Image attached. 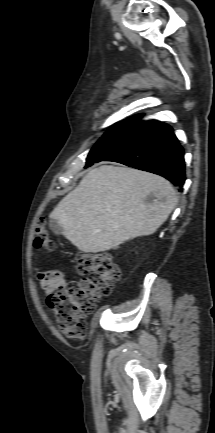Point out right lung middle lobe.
Instances as JSON below:
<instances>
[{
    "label": "right lung middle lobe",
    "instance_id": "right-lung-middle-lobe-1",
    "mask_svg": "<svg viewBox=\"0 0 215 433\" xmlns=\"http://www.w3.org/2000/svg\"><path fill=\"white\" fill-rule=\"evenodd\" d=\"M146 123L137 118H129L111 127L89 152L85 168L123 149L141 132Z\"/></svg>",
    "mask_w": 215,
    "mask_h": 433
}]
</instances>
